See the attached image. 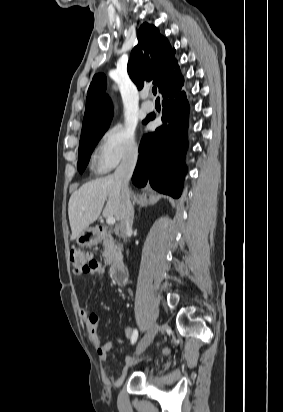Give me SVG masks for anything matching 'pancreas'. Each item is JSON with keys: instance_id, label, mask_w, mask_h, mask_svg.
<instances>
[{"instance_id": "cf45deb5", "label": "pancreas", "mask_w": 283, "mask_h": 412, "mask_svg": "<svg viewBox=\"0 0 283 412\" xmlns=\"http://www.w3.org/2000/svg\"><path fill=\"white\" fill-rule=\"evenodd\" d=\"M103 245H104V252L102 255L104 257V261L106 264L111 265L120 256L121 254L120 248L110 238H106L103 242Z\"/></svg>"}]
</instances>
